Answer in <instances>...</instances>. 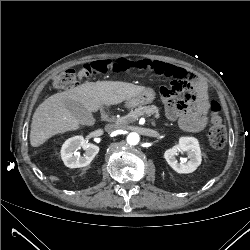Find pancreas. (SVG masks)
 I'll return each instance as SVG.
<instances>
[{
  "mask_svg": "<svg viewBox=\"0 0 250 250\" xmlns=\"http://www.w3.org/2000/svg\"><path fill=\"white\" fill-rule=\"evenodd\" d=\"M155 115L156 117H159V109L155 105L151 106H140L139 108L132 110L127 116L114 119L117 124H126V123H132L138 119V117L142 115Z\"/></svg>",
  "mask_w": 250,
  "mask_h": 250,
  "instance_id": "cf45deb5",
  "label": "pancreas"
}]
</instances>
